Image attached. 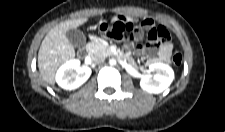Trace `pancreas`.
Returning a JSON list of instances; mask_svg holds the SVG:
<instances>
[{"label": "pancreas", "mask_w": 225, "mask_h": 132, "mask_svg": "<svg viewBox=\"0 0 225 132\" xmlns=\"http://www.w3.org/2000/svg\"><path fill=\"white\" fill-rule=\"evenodd\" d=\"M87 49L91 54H99L104 57L111 56L113 54L108 43L104 40H96L88 43Z\"/></svg>", "instance_id": "1"}]
</instances>
